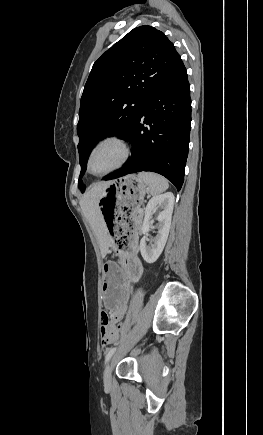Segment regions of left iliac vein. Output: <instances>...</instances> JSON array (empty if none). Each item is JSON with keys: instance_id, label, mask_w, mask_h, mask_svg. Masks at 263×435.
Returning <instances> with one entry per match:
<instances>
[{"instance_id": "4c4485c4", "label": "left iliac vein", "mask_w": 263, "mask_h": 435, "mask_svg": "<svg viewBox=\"0 0 263 435\" xmlns=\"http://www.w3.org/2000/svg\"><path fill=\"white\" fill-rule=\"evenodd\" d=\"M117 355H113L110 358V361L108 362V364L105 367L104 370V374H103V379H104V384L105 386H110L111 385V369H112V364L114 362V360L116 359Z\"/></svg>"}]
</instances>
